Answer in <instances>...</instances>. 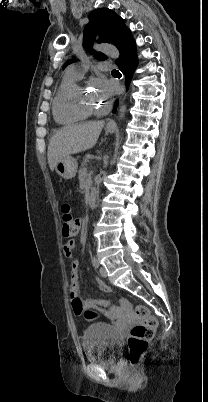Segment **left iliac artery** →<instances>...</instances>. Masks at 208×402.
Wrapping results in <instances>:
<instances>
[{"label": "left iliac artery", "mask_w": 208, "mask_h": 402, "mask_svg": "<svg viewBox=\"0 0 208 402\" xmlns=\"http://www.w3.org/2000/svg\"><path fill=\"white\" fill-rule=\"evenodd\" d=\"M93 266L97 269L99 267V262L97 258L94 256L92 259Z\"/></svg>", "instance_id": "left-iliac-artery-1"}]
</instances>
